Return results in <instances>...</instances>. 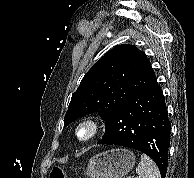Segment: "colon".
Here are the masks:
<instances>
[{"label": "colon", "mask_w": 194, "mask_h": 178, "mask_svg": "<svg viewBox=\"0 0 194 178\" xmlns=\"http://www.w3.org/2000/svg\"><path fill=\"white\" fill-rule=\"evenodd\" d=\"M67 177L68 171L61 166L53 167L50 172V178H67Z\"/></svg>", "instance_id": "colon-1"}]
</instances>
